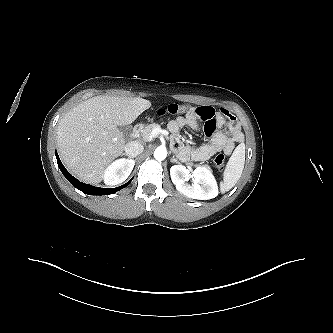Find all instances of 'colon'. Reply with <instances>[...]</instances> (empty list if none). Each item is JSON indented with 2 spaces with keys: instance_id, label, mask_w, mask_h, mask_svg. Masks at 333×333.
I'll return each mask as SVG.
<instances>
[{
  "instance_id": "obj_1",
  "label": "colon",
  "mask_w": 333,
  "mask_h": 333,
  "mask_svg": "<svg viewBox=\"0 0 333 333\" xmlns=\"http://www.w3.org/2000/svg\"><path fill=\"white\" fill-rule=\"evenodd\" d=\"M190 109V106L185 104H170L166 107L160 108L157 111V114L160 116L163 115H178L187 112ZM213 165L218 170H223L226 165V159L224 154L219 153L213 159Z\"/></svg>"
}]
</instances>
